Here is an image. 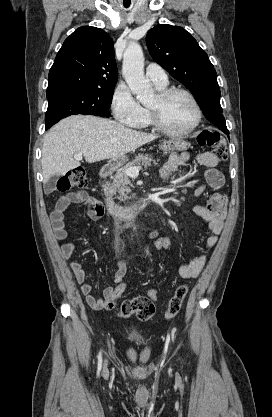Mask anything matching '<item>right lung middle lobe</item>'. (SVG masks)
I'll use <instances>...</instances> for the list:
<instances>
[{"label":"right lung middle lobe","instance_id":"obj_1","mask_svg":"<svg viewBox=\"0 0 272 417\" xmlns=\"http://www.w3.org/2000/svg\"><path fill=\"white\" fill-rule=\"evenodd\" d=\"M115 86L106 89H59L47 92L46 129L73 114L110 117Z\"/></svg>","mask_w":272,"mask_h":417}]
</instances>
